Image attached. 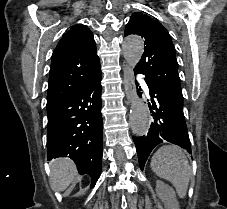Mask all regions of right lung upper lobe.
<instances>
[{
    "label": "right lung upper lobe",
    "instance_id": "right-lung-upper-lobe-1",
    "mask_svg": "<svg viewBox=\"0 0 227 209\" xmlns=\"http://www.w3.org/2000/svg\"><path fill=\"white\" fill-rule=\"evenodd\" d=\"M85 67L88 72L77 73ZM100 70V60L91 30L78 24L66 32L52 54L47 94V107L79 89L88 78Z\"/></svg>",
    "mask_w": 227,
    "mask_h": 209
}]
</instances>
